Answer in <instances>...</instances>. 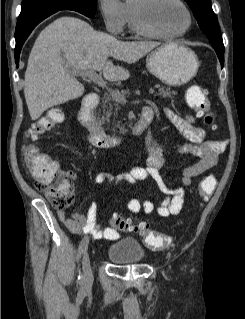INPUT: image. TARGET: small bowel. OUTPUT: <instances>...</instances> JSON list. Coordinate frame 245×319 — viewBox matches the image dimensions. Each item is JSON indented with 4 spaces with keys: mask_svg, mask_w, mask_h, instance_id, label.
<instances>
[{
    "mask_svg": "<svg viewBox=\"0 0 245 319\" xmlns=\"http://www.w3.org/2000/svg\"><path fill=\"white\" fill-rule=\"evenodd\" d=\"M166 117L178 130V132L189 141L180 148V153L191 154L196 161L186 167L181 177V186L168 187L160 174V170L166 162V157L160 151L154 140H151L150 149L145 165L137 166L127 173L111 175L98 173L95 182L102 184L113 182L116 185L122 182L137 187L141 182L152 181L166 193V198L156 207L147 197H130L127 208L132 214L144 213L150 215L157 212L162 217L178 214L182 208L185 195V187L191 185L193 178L212 168L218 160L219 155L225 150L226 142L220 139H206L205 130L196 125L192 115H180L173 110H164ZM149 114L153 118L152 107L147 106L142 114ZM79 207L71 216L65 211H58L57 215L61 222L73 233L86 234L94 239H105L114 241L121 237V231L115 227H104L97 222V205L91 203L86 214L80 212Z\"/></svg>",
    "mask_w": 245,
    "mask_h": 319,
    "instance_id": "obj_1",
    "label": "small bowel"
}]
</instances>
